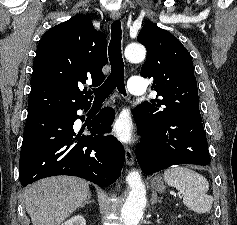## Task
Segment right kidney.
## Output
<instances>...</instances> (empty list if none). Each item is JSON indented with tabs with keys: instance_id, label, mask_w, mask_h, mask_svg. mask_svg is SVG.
Instances as JSON below:
<instances>
[{
	"instance_id": "right-kidney-1",
	"label": "right kidney",
	"mask_w": 237,
	"mask_h": 225,
	"mask_svg": "<svg viewBox=\"0 0 237 225\" xmlns=\"http://www.w3.org/2000/svg\"><path fill=\"white\" fill-rule=\"evenodd\" d=\"M61 225H86V221L83 216L77 215L65 221Z\"/></svg>"
}]
</instances>
